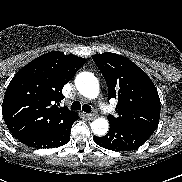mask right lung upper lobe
<instances>
[{
	"instance_id": "1",
	"label": "right lung upper lobe",
	"mask_w": 182,
	"mask_h": 182,
	"mask_svg": "<svg viewBox=\"0 0 182 182\" xmlns=\"http://www.w3.org/2000/svg\"><path fill=\"white\" fill-rule=\"evenodd\" d=\"M86 60L60 51L34 59L20 69L9 83L3 104L4 121L18 140L56 127L78 114L59 108L63 86Z\"/></svg>"
}]
</instances>
